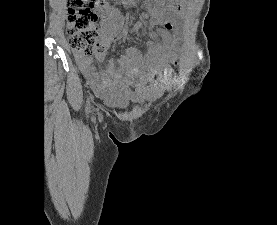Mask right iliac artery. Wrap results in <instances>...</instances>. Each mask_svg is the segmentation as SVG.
Returning <instances> with one entry per match:
<instances>
[{
	"instance_id": "82829eb1",
	"label": "right iliac artery",
	"mask_w": 277,
	"mask_h": 225,
	"mask_svg": "<svg viewBox=\"0 0 277 225\" xmlns=\"http://www.w3.org/2000/svg\"><path fill=\"white\" fill-rule=\"evenodd\" d=\"M89 104H90V102H89V101H87V105H88L87 109L89 108Z\"/></svg>"
}]
</instances>
